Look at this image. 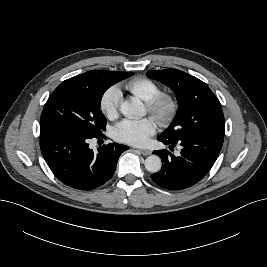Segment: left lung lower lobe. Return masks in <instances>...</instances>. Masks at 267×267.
I'll return each instance as SVG.
<instances>
[{
  "label": "left lung lower lobe",
  "mask_w": 267,
  "mask_h": 267,
  "mask_svg": "<svg viewBox=\"0 0 267 267\" xmlns=\"http://www.w3.org/2000/svg\"><path fill=\"white\" fill-rule=\"evenodd\" d=\"M158 140L170 148L179 144L182 150L178 157L166 150L153 151L163 164L151 178L168 190H182L199 182L210 171L220 153L224 135H195L176 143L161 138Z\"/></svg>",
  "instance_id": "left-lung-lower-lobe-1"
}]
</instances>
